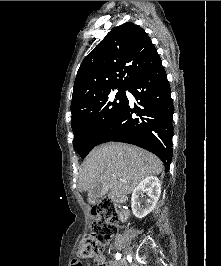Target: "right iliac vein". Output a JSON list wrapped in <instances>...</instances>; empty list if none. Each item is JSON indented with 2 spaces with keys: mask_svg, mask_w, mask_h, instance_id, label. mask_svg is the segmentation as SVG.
<instances>
[{
  "mask_svg": "<svg viewBox=\"0 0 221 266\" xmlns=\"http://www.w3.org/2000/svg\"><path fill=\"white\" fill-rule=\"evenodd\" d=\"M131 253V249L129 247H126L123 251L124 257L120 260L119 265L118 266H123L124 262H125V257L127 255H129Z\"/></svg>",
  "mask_w": 221,
  "mask_h": 266,
  "instance_id": "1",
  "label": "right iliac vein"
}]
</instances>
